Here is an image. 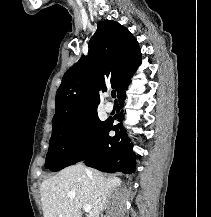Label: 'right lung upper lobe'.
<instances>
[{"label": "right lung upper lobe", "mask_w": 211, "mask_h": 217, "mask_svg": "<svg viewBox=\"0 0 211 217\" xmlns=\"http://www.w3.org/2000/svg\"><path fill=\"white\" fill-rule=\"evenodd\" d=\"M140 63L141 51L130 31L112 20L99 22L89 42L88 56L83 55L62 78L52 126L97 111L99 91H106V83L116 89L119 97Z\"/></svg>", "instance_id": "1"}]
</instances>
